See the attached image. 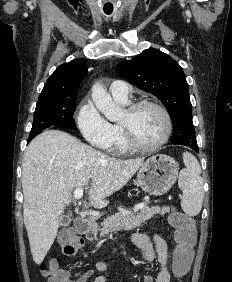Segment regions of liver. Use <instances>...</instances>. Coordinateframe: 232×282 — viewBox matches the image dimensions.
I'll return each mask as SVG.
<instances>
[{"label": "liver", "mask_w": 232, "mask_h": 282, "mask_svg": "<svg viewBox=\"0 0 232 282\" xmlns=\"http://www.w3.org/2000/svg\"><path fill=\"white\" fill-rule=\"evenodd\" d=\"M143 163L109 157L61 130L34 138L22 163L23 216L34 262L41 264L51 248L72 189L85 188L91 204L103 207Z\"/></svg>", "instance_id": "liver-1"}]
</instances>
